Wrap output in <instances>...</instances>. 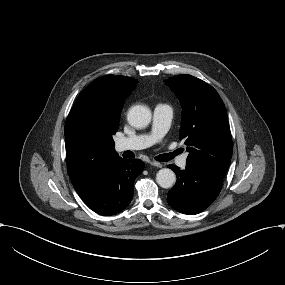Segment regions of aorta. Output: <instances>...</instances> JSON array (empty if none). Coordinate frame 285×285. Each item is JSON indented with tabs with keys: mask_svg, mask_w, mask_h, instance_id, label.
I'll return each instance as SVG.
<instances>
[{
	"mask_svg": "<svg viewBox=\"0 0 285 285\" xmlns=\"http://www.w3.org/2000/svg\"><path fill=\"white\" fill-rule=\"evenodd\" d=\"M151 111L143 105L133 106L127 115L128 122L135 128H144L151 121ZM156 181L162 188H171L176 182L175 173L169 168H162L157 172Z\"/></svg>",
	"mask_w": 285,
	"mask_h": 285,
	"instance_id": "obj_1",
	"label": "aorta"
}]
</instances>
